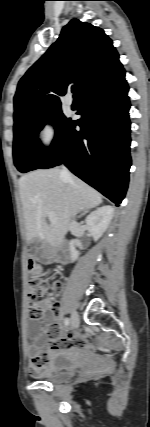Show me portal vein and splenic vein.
<instances>
[{
  "mask_svg": "<svg viewBox=\"0 0 150 427\" xmlns=\"http://www.w3.org/2000/svg\"><path fill=\"white\" fill-rule=\"evenodd\" d=\"M47 216L51 224H55L57 222L56 214L54 212H48Z\"/></svg>",
  "mask_w": 150,
  "mask_h": 427,
  "instance_id": "1",
  "label": "portal vein and splenic vein"
}]
</instances>
